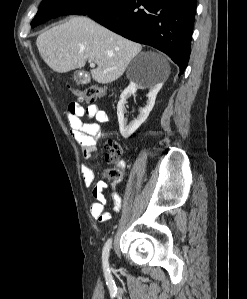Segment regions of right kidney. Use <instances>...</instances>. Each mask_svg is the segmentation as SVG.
Returning <instances> with one entry per match:
<instances>
[{
    "mask_svg": "<svg viewBox=\"0 0 247 299\" xmlns=\"http://www.w3.org/2000/svg\"><path fill=\"white\" fill-rule=\"evenodd\" d=\"M141 87H142L141 85L135 82H130V85L122 92L120 96V100L117 105V116H118L120 133L124 138L130 137L141 126V124L148 118L149 113L151 112L155 104L157 93L161 89L162 84H156L150 86L147 105L144 108L140 109V114L137 117V119L128 123V120L124 118V114L126 112V108H125L126 100L132 94L136 93L137 89Z\"/></svg>",
    "mask_w": 247,
    "mask_h": 299,
    "instance_id": "1",
    "label": "right kidney"
}]
</instances>
